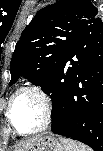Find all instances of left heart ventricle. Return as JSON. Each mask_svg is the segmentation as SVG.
I'll use <instances>...</instances> for the list:
<instances>
[{
  "label": "left heart ventricle",
  "mask_w": 103,
  "mask_h": 151,
  "mask_svg": "<svg viewBox=\"0 0 103 151\" xmlns=\"http://www.w3.org/2000/svg\"><path fill=\"white\" fill-rule=\"evenodd\" d=\"M43 118V109L36 96L30 93L20 95L12 108V119L16 127L27 132L37 128Z\"/></svg>",
  "instance_id": "1"
}]
</instances>
